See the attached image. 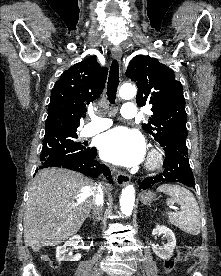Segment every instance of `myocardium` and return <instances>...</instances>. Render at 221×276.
<instances>
[{"mask_svg": "<svg viewBox=\"0 0 221 276\" xmlns=\"http://www.w3.org/2000/svg\"><path fill=\"white\" fill-rule=\"evenodd\" d=\"M163 159V153L159 149H151L146 160V168L149 170H155L159 168L163 163Z\"/></svg>", "mask_w": 221, "mask_h": 276, "instance_id": "obj_1", "label": "myocardium"}]
</instances>
